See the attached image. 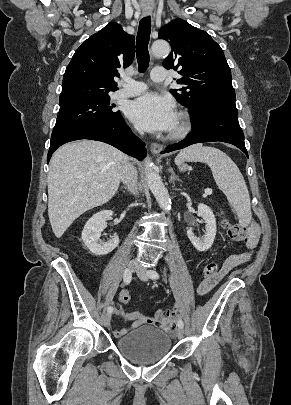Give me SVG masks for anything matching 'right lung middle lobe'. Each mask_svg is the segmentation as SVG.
<instances>
[{
  "mask_svg": "<svg viewBox=\"0 0 291 405\" xmlns=\"http://www.w3.org/2000/svg\"><path fill=\"white\" fill-rule=\"evenodd\" d=\"M59 105L52 136L80 126L110 124L121 116L112 110L109 96L69 99Z\"/></svg>",
  "mask_w": 291,
  "mask_h": 405,
  "instance_id": "obj_1",
  "label": "right lung middle lobe"
}]
</instances>
